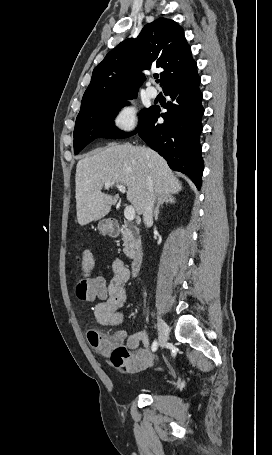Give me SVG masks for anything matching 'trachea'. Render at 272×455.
Here are the masks:
<instances>
[{"mask_svg":"<svg viewBox=\"0 0 272 455\" xmlns=\"http://www.w3.org/2000/svg\"><path fill=\"white\" fill-rule=\"evenodd\" d=\"M155 79H156V82L159 83V79H158V76H155Z\"/></svg>","mask_w":272,"mask_h":455,"instance_id":"trachea-1","label":"trachea"}]
</instances>
